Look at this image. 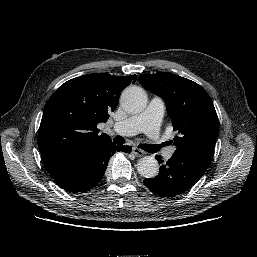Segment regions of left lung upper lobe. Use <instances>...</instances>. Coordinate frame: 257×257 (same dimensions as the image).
I'll return each mask as SVG.
<instances>
[{
    "label": "left lung upper lobe",
    "instance_id": "obj_1",
    "mask_svg": "<svg viewBox=\"0 0 257 257\" xmlns=\"http://www.w3.org/2000/svg\"><path fill=\"white\" fill-rule=\"evenodd\" d=\"M139 82L163 98L172 119L176 152L209 166L219 134L213 102L197 83L172 73L141 74Z\"/></svg>",
    "mask_w": 257,
    "mask_h": 257
}]
</instances>
